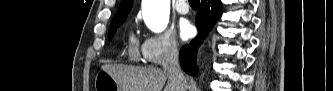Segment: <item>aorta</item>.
<instances>
[{
    "label": "aorta",
    "mask_w": 333,
    "mask_h": 91,
    "mask_svg": "<svg viewBox=\"0 0 333 91\" xmlns=\"http://www.w3.org/2000/svg\"><path fill=\"white\" fill-rule=\"evenodd\" d=\"M143 18L153 32H162L168 25L170 0H143Z\"/></svg>",
    "instance_id": "762f6f07"
}]
</instances>
